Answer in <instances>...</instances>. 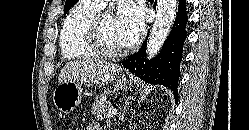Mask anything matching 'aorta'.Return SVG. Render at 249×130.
Here are the masks:
<instances>
[{
	"mask_svg": "<svg viewBox=\"0 0 249 130\" xmlns=\"http://www.w3.org/2000/svg\"><path fill=\"white\" fill-rule=\"evenodd\" d=\"M177 0H158L156 18L147 43V58L152 59L160 51L167 38L176 14Z\"/></svg>",
	"mask_w": 249,
	"mask_h": 130,
	"instance_id": "aorta-1",
	"label": "aorta"
}]
</instances>
